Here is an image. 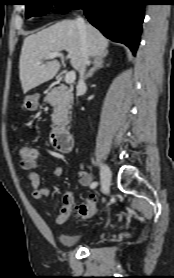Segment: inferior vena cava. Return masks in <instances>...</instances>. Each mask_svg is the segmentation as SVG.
I'll list each match as a JSON object with an SVG mask.
<instances>
[{
  "mask_svg": "<svg viewBox=\"0 0 174 278\" xmlns=\"http://www.w3.org/2000/svg\"><path fill=\"white\" fill-rule=\"evenodd\" d=\"M76 24L77 27L79 29L80 32V38H81V46H82V56H83V66L80 70V79L79 82L77 84V90L80 92H83L86 90V84H85V77H84V73H85V68L86 65L89 64V60H88V47H87V40H86V24L85 21L82 17H78L76 19Z\"/></svg>",
  "mask_w": 174,
  "mask_h": 278,
  "instance_id": "inferior-vena-cava-1",
  "label": "inferior vena cava"
}]
</instances>
